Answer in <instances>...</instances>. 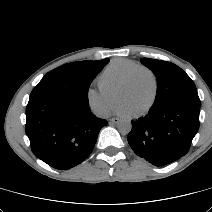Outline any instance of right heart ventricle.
<instances>
[{"label": "right heart ventricle", "instance_id": "e07e8e85", "mask_svg": "<svg viewBox=\"0 0 212 212\" xmlns=\"http://www.w3.org/2000/svg\"><path fill=\"white\" fill-rule=\"evenodd\" d=\"M140 65L129 59H116L112 61L101 73L99 86L110 92L117 93L128 76Z\"/></svg>", "mask_w": 212, "mask_h": 212}]
</instances>
